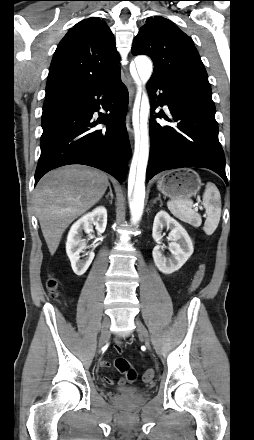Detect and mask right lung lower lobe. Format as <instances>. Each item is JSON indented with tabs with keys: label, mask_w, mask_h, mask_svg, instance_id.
Returning <instances> with one entry per match:
<instances>
[{
	"label": "right lung lower lobe",
	"mask_w": 254,
	"mask_h": 440,
	"mask_svg": "<svg viewBox=\"0 0 254 440\" xmlns=\"http://www.w3.org/2000/svg\"><path fill=\"white\" fill-rule=\"evenodd\" d=\"M128 99L121 80L83 84L47 96L35 185L48 171L69 164L101 169L122 183L131 154L125 126ZM99 109L110 113L96 118L93 114ZM100 124L106 126L99 129Z\"/></svg>",
	"instance_id": "1"
}]
</instances>
